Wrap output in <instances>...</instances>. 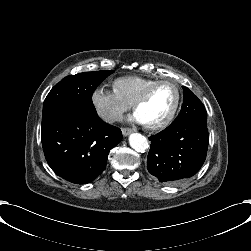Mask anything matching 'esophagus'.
I'll list each match as a JSON object with an SVG mask.
<instances>
[{"label":"esophagus","instance_id":"1","mask_svg":"<svg viewBox=\"0 0 251 251\" xmlns=\"http://www.w3.org/2000/svg\"><path fill=\"white\" fill-rule=\"evenodd\" d=\"M133 133V129H130V128H122V134L124 136H129L130 134Z\"/></svg>","mask_w":251,"mask_h":251}]
</instances>
